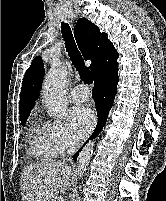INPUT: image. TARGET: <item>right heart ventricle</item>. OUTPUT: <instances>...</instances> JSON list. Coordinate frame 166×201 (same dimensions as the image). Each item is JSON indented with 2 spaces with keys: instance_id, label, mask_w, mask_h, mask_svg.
Instances as JSON below:
<instances>
[{
  "instance_id": "right-heart-ventricle-1",
  "label": "right heart ventricle",
  "mask_w": 166,
  "mask_h": 201,
  "mask_svg": "<svg viewBox=\"0 0 166 201\" xmlns=\"http://www.w3.org/2000/svg\"><path fill=\"white\" fill-rule=\"evenodd\" d=\"M31 153L39 160H50L58 155L52 145L47 123L35 121L30 128Z\"/></svg>"
}]
</instances>
